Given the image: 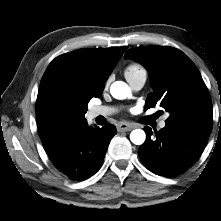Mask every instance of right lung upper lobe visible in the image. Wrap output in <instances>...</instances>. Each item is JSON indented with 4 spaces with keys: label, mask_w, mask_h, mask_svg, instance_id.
I'll list each match as a JSON object with an SVG mask.
<instances>
[{
    "label": "right lung upper lobe",
    "mask_w": 221,
    "mask_h": 221,
    "mask_svg": "<svg viewBox=\"0 0 221 221\" xmlns=\"http://www.w3.org/2000/svg\"><path fill=\"white\" fill-rule=\"evenodd\" d=\"M128 47L115 49H79L56 57L47 67L41 82L36 102V116L40 136L49 156L73 131H61L47 119L44 98L48 89L59 82L76 79L80 74L86 76V90L93 97L102 95L105 81L113 66L118 62ZM85 121V119H84ZM83 121V122H84Z\"/></svg>",
    "instance_id": "right-lung-upper-lobe-1"
}]
</instances>
